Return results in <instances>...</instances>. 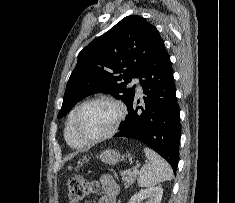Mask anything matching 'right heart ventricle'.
<instances>
[{
	"label": "right heart ventricle",
	"mask_w": 235,
	"mask_h": 203,
	"mask_svg": "<svg viewBox=\"0 0 235 203\" xmlns=\"http://www.w3.org/2000/svg\"><path fill=\"white\" fill-rule=\"evenodd\" d=\"M75 110H76V108H74L68 116V119L66 122V129H65V139L71 147L80 148L84 145V143H82L75 136V134L73 133V130H72V119H73V115H74Z\"/></svg>",
	"instance_id": "obj_1"
}]
</instances>
